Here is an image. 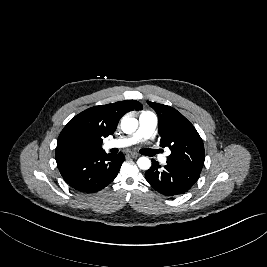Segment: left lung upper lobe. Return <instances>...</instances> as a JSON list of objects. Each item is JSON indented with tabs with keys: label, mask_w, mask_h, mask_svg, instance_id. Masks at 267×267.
I'll return each mask as SVG.
<instances>
[{
	"label": "left lung upper lobe",
	"mask_w": 267,
	"mask_h": 267,
	"mask_svg": "<svg viewBox=\"0 0 267 267\" xmlns=\"http://www.w3.org/2000/svg\"><path fill=\"white\" fill-rule=\"evenodd\" d=\"M147 103L158 115L160 146L171 150L167 163L201 172L205 152L195 127L176 109L159 103Z\"/></svg>",
	"instance_id": "left-lung-upper-lobe-1"
}]
</instances>
